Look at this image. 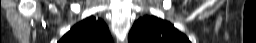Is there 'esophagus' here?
<instances>
[{
  "label": "esophagus",
  "instance_id": "34e87169",
  "mask_svg": "<svg viewBox=\"0 0 256 43\" xmlns=\"http://www.w3.org/2000/svg\"><path fill=\"white\" fill-rule=\"evenodd\" d=\"M117 43H127V40H124V41H117Z\"/></svg>",
  "mask_w": 256,
  "mask_h": 43
}]
</instances>
